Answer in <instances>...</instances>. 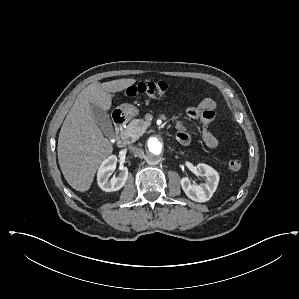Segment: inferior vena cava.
<instances>
[{
  "instance_id": "inferior-vena-cava-1",
  "label": "inferior vena cava",
  "mask_w": 299,
  "mask_h": 299,
  "mask_svg": "<svg viewBox=\"0 0 299 299\" xmlns=\"http://www.w3.org/2000/svg\"><path fill=\"white\" fill-rule=\"evenodd\" d=\"M130 152H132L134 155L141 157L144 154L143 149L138 148L136 146H129Z\"/></svg>"
}]
</instances>
